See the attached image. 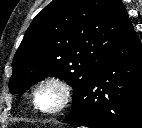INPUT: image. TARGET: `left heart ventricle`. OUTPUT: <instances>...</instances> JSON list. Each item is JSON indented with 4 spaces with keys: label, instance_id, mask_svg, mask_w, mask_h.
<instances>
[{
    "label": "left heart ventricle",
    "instance_id": "b2bd125f",
    "mask_svg": "<svg viewBox=\"0 0 142 128\" xmlns=\"http://www.w3.org/2000/svg\"><path fill=\"white\" fill-rule=\"evenodd\" d=\"M59 100V92L53 87H48L42 92L40 103L44 109H52L58 105Z\"/></svg>",
    "mask_w": 142,
    "mask_h": 128
}]
</instances>
